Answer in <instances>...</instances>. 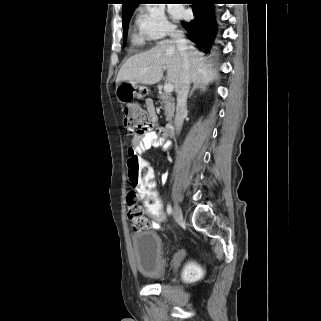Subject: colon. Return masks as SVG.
Wrapping results in <instances>:
<instances>
[{"instance_id":"1","label":"colon","mask_w":321,"mask_h":321,"mask_svg":"<svg viewBox=\"0 0 321 321\" xmlns=\"http://www.w3.org/2000/svg\"><path fill=\"white\" fill-rule=\"evenodd\" d=\"M124 126L130 134L140 135L147 132L153 125L154 115L144 110L137 103H128L124 106ZM129 181L133 189L127 195V217L135 230L144 229L148 225L144 212L139 204L143 198L142 206L146 216H151L152 222H163V205L159 191H155L154 174L148 163L137 154L130 153L127 159Z\"/></svg>"}]
</instances>
